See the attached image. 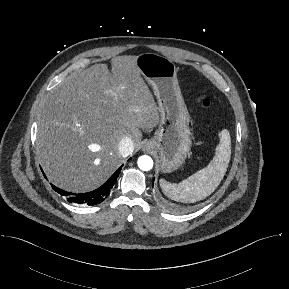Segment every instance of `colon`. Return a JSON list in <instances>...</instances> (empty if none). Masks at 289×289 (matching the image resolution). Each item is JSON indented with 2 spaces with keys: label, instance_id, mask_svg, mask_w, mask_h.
Masks as SVG:
<instances>
[{
  "label": "colon",
  "instance_id": "5ec220e1",
  "mask_svg": "<svg viewBox=\"0 0 289 289\" xmlns=\"http://www.w3.org/2000/svg\"><path fill=\"white\" fill-rule=\"evenodd\" d=\"M197 103L201 109H208L210 107V100L204 96H199Z\"/></svg>",
  "mask_w": 289,
  "mask_h": 289
}]
</instances>
